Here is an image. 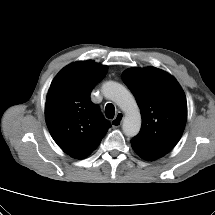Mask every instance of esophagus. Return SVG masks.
<instances>
[{"label":"esophagus","mask_w":215,"mask_h":215,"mask_svg":"<svg viewBox=\"0 0 215 215\" xmlns=\"http://www.w3.org/2000/svg\"><path fill=\"white\" fill-rule=\"evenodd\" d=\"M124 115L121 112H118L114 119L111 120V125L113 127H119L123 122Z\"/></svg>","instance_id":"obj_1"}]
</instances>
